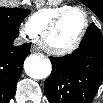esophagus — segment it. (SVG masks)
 <instances>
[{"instance_id": "esophagus-1", "label": "esophagus", "mask_w": 103, "mask_h": 103, "mask_svg": "<svg viewBox=\"0 0 103 103\" xmlns=\"http://www.w3.org/2000/svg\"><path fill=\"white\" fill-rule=\"evenodd\" d=\"M31 52H33V53L37 52L36 47H32V48H31Z\"/></svg>"}]
</instances>
